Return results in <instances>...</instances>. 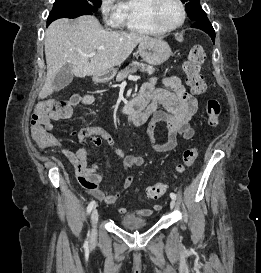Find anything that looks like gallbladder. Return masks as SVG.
Listing matches in <instances>:
<instances>
[{"mask_svg":"<svg viewBox=\"0 0 261 273\" xmlns=\"http://www.w3.org/2000/svg\"><path fill=\"white\" fill-rule=\"evenodd\" d=\"M73 79L72 65L65 64L57 73L54 79V86L57 90H61L68 86Z\"/></svg>","mask_w":261,"mask_h":273,"instance_id":"bac80fb5","label":"gallbladder"}]
</instances>
